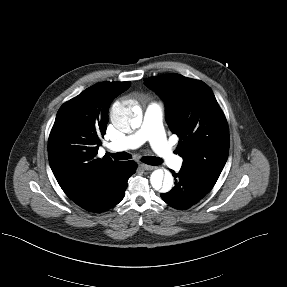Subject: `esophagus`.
Wrapping results in <instances>:
<instances>
[{
	"mask_svg": "<svg viewBox=\"0 0 287 287\" xmlns=\"http://www.w3.org/2000/svg\"><path fill=\"white\" fill-rule=\"evenodd\" d=\"M141 167H142L144 170H148V171H151V170L156 169L155 166H151V165H147V164H142Z\"/></svg>",
	"mask_w": 287,
	"mask_h": 287,
	"instance_id": "1",
	"label": "esophagus"
}]
</instances>
